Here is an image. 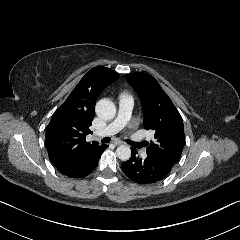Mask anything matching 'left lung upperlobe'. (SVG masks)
Returning a JSON list of instances; mask_svg holds the SVG:
<instances>
[{
  "instance_id": "1",
  "label": "left lung upper lobe",
  "mask_w": 240,
  "mask_h": 240,
  "mask_svg": "<svg viewBox=\"0 0 240 240\" xmlns=\"http://www.w3.org/2000/svg\"><path fill=\"white\" fill-rule=\"evenodd\" d=\"M125 78L138 93L144 113V127L154 132L147 154L173 166L185 144L183 120L159 83L152 76L137 72Z\"/></svg>"
}]
</instances>
